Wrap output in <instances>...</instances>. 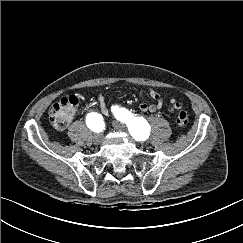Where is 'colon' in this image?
Returning <instances> with one entry per match:
<instances>
[{
	"label": "colon",
	"mask_w": 243,
	"mask_h": 243,
	"mask_svg": "<svg viewBox=\"0 0 243 243\" xmlns=\"http://www.w3.org/2000/svg\"><path fill=\"white\" fill-rule=\"evenodd\" d=\"M78 105V98L75 95H69L53 103L49 109V119L56 130H64L70 123ZM177 124L179 127H185L188 123V115L181 111L177 115Z\"/></svg>",
	"instance_id": "colon-1"
}]
</instances>
